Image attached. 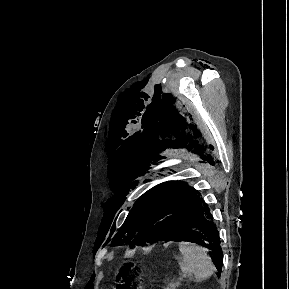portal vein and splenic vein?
<instances>
[{
	"label": "portal vein and splenic vein",
	"instance_id": "obj_1",
	"mask_svg": "<svg viewBox=\"0 0 289 289\" xmlns=\"http://www.w3.org/2000/svg\"><path fill=\"white\" fill-rule=\"evenodd\" d=\"M177 280L178 282H181L183 280V277H179Z\"/></svg>",
	"mask_w": 289,
	"mask_h": 289
}]
</instances>
